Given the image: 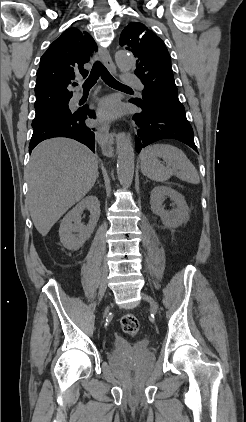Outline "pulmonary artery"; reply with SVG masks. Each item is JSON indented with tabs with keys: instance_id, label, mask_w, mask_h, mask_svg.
<instances>
[{
	"instance_id": "pulmonary-artery-1",
	"label": "pulmonary artery",
	"mask_w": 246,
	"mask_h": 422,
	"mask_svg": "<svg viewBox=\"0 0 246 422\" xmlns=\"http://www.w3.org/2000/svg\"><path fill=\"white\" fill-rule=\"evenodd\" d=\"M123 82L127 85H132L138 88L139 90H143L144 86L140 79L133 73H125L123 75ZM82 97L81 93H75L72 102H77Z\"/></svg>"
}]
</instances>
